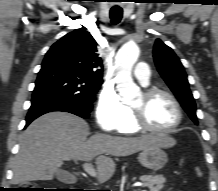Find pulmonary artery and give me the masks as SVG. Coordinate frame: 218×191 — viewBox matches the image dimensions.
<instances>
[{
    "mask_svg": "<svg viewBox=\"0 0 218 191\" xmlns=\"http://www.w3.org/2000/svg\"><path fill=\"white\" fill-rule=\"evenodd\" d=\"M134 75L143 85H147L150 79V68L148 64L139 62L134 71Z\"/></svg>",
    "mask_w": 218,
    "mask_h": 191,
    "instance_id": "1",
    "label": "pulmonary artery"
}]
</instances>
